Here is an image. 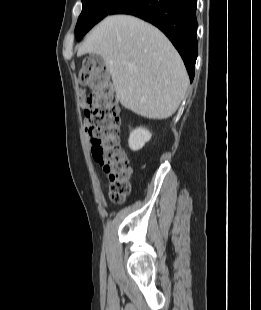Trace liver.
I'll return each mask as SVG.
<instances>
[{"instance_id":"liver-1","label":"liver","mask_w":261,"mask_h":310,"mask_svg":"<svg viewBox=\"0 0 261 310\" xmlns=\"http://www.w3.org/2000/svg\"><path fill=\"white\" fill-rule=\"evenodd\" d=\"M87 53L103 58L117 99L138 115L169 118L185 96L189 78L178 52L160 30L137 17H106L77 55Z\"/></svg>"}]
</instances>
